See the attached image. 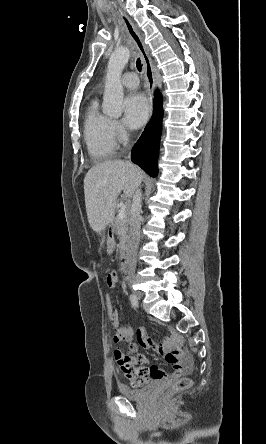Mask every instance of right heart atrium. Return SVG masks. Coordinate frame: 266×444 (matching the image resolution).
Masks as SVG:
<instances>
[{
    "instance_id": "1",
    "label": "right heart atrium",
    "mask_w": 266,
    "mask_h": 444,
    "mask_svg": "<svg viewBox=\"0 0 266 444\" xmlns=\"http://www.w3.org/2000/svg\"><path fill=\"white\" fill-rule=\"evenodd\" d=\"M112 128H113V132H114L115 137L118 140H123L125 137V132H124L123 127L120 124V122L117 120H112Z\"/></svg>"
}]
</instances>
